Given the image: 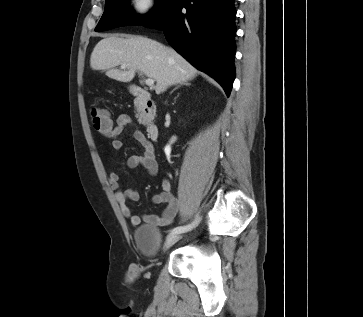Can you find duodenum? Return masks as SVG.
<instances>
[{"instance_id":"410a0bca","label":"duodenum","mask_w":363,"mask_h":317,"mask_svg":"<svg viewBox=\"0 0 363 317\" xmlns=\"http://www.w3.org/2000/svg\"><path fill=\"white\" fill-rule=\"evenodd\" d=\"M131 93L137 99L143 111L147 113L151 111L153 108V101L148 91L139 86H131ZM146 128L152 140H157L159 138V128L156 124L148 122Z\"/></svg>"}]
</instances>
